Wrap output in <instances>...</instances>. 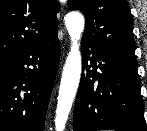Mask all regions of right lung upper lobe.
I'll return each mask as SVG.
<instances>
[{"mask_svg": "<svg viewBox=\"0 0 147 131\" xmlns=\"http://www.w3.org/2000/svg\"><path fill=\"white\" fill-rule=\"evenodd\" d=\"M57 0H0V58L57 34Z\"/></svg>", "mask_w": 147, "mask_h": 131, "instance_id": "right-lung-upper-lobe-1", "label": "right lung upper lobe"}]
</instances>
